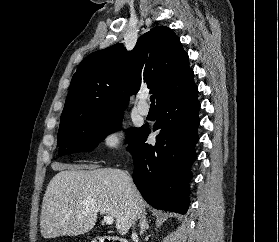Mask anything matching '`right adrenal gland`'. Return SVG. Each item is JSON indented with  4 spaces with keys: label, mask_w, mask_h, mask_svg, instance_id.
<instances>
[{
    "label": "right adrenal gland",
    "mask_w": 279,
    "mask_h": 242,
    "mask_svg": "<svg viewBox=\"0 0 279 242\" xmlns=\"http://www.w3.org/2000/svg\"><path fill=\"white\" fill-rule=\"evenodd\" d=\"M139 218H140V235H142L147 229H149V222L146 219V213H143Z\"/></svg>",
    "instance_id": "right-adrenal-gland-1"
}]
</instances>
